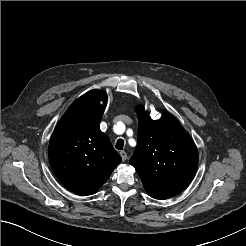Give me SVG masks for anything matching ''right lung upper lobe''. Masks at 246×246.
I'll return each instance as SVG.
<instances>
[{
  "label": "right lung upper lobe",
  "instance_id": "1",
  "mask_svg": "<svg viewBox=\"0 0 246 246\" xmlns=\"http://www.w3.org/2000/svg\"><path fill=\"white\" fill-rule=\"evenodd\" d=\"M105 105L102 91L82 95L61 117L49 143L55 175L79 195L96 193L122 160L99 127Z\"/></svg>",
  "mask_w": 246,
  "mask_h": 246
}]
</instances>
